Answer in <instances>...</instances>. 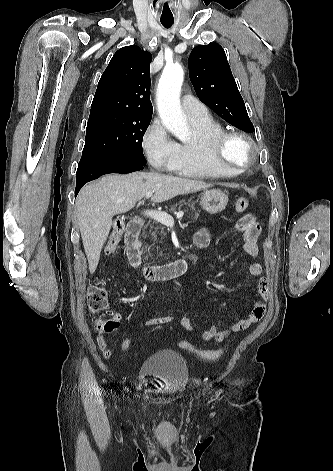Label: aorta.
Instances as JSON below:
<instances>
[{"mask_svg":"<svg viewBox=\"0 0 333 471\" xmlns=\"http://www.w3.org/2000/svg\"><path fill=\"white\" fill-rule=\"evenodd\" d=\"M183 78L181 65H167L163 69L157 88L158 111L162 124L181 141L190 136L179 99Z\"/></svg>","mask_w":333,"mask_h":471,"instance_id":"aorta-1","label":"aorta"}]
</instances>
